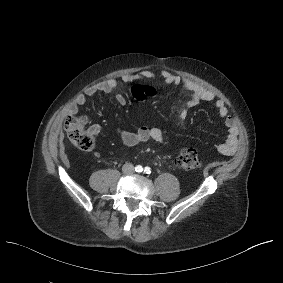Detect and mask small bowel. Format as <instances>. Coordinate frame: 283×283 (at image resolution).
<instances>
[{
    "label": "small bowel",
    "mask_w": 283,
    "mask_h": 283,
    "mask_svg": "<svg viewBox=\"0 0 283 283\" xmlns=\"http://www.w3.org/2000/svg\"><path fill=\"white\" fill-rule=\"evenodd\" d=\"M160 79L165 85L182 86L185 90L190 92V97L185 103V110L193 108L202 102H212L217 110L218 115L224 119L227 128L226 140L217 146V150L226 156H231L235 153L238 144L239 129L236 119L229 113V110L223 100L217 98L213 93L206 90L196 82L183 78L179 75L173 74L170 71H162L155 74L148 70H143L136 74H125L122 76L123 82L129 83L135 80H155ZM118 86L116 79L111 78L105 81L98 82L88 87L83 93L79 94L71 105V112L75 114L79 107L86 104L88 97L96 93H111ZM115 102L119 106L126 104V98L119 94L115 97ZM182 121L185 117L181 118ZM89 134L94 138H98L101 133V127L98 124H93L88 129ZM117 134L122 143L126 146L132 147L149 140L157 143H164V132L157 127H140L135 131H127L124 129H117Z\"/></svg>",
    "instance_id": "1"
}]
</instances>
